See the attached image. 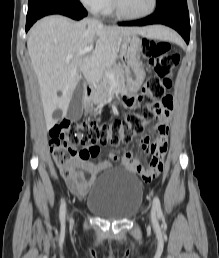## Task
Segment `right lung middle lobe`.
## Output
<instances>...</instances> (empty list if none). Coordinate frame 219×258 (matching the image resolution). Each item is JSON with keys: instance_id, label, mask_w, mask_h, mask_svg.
<instances>
[{"instance_id": "right-lung-middle-lobe-1", "label": "right lung middle lobe", "mask_w": 219, "mask_h": 258, "mask_svg": "<svg viewBox=\"0 0 219 258\" xmlns=\"http://www.w3.org/2000/svg\"><path fill=\"white\" fill-rule=\"evenodd\" d=\"M51 0H29L28 1V13L32 12L36 8L40 7L41 5L49 2Z\"/></svg>"}]
</instances>
